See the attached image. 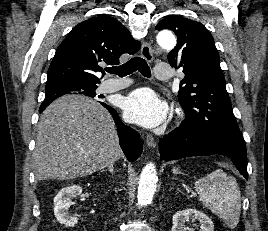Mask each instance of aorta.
<instances>
[{"label": "aorta", "mask_w": 268, "mask_h": 231, "mask_svg": "<svg viewBox=\"0 0 268 231\" xmlns=\"http://www.w3.org/2000/svg\"><path fill=\"white\" fill-rule=\"evenodd\" d=\"M159 46L165 50H170L176 45V39L170 32H160L157 36ZM158 181L156 167L153 163H148L143 168L139 184L137 200L139 206H144L149 203L156 191V184Z\"/></svg>", "instance_id": "obj_1"}]
</instances>
